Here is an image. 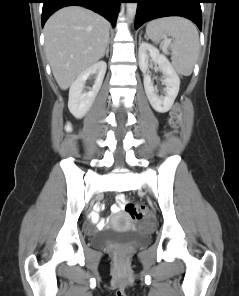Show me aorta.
I'll return each instance as SVG.
<instances>
[{
    "instance_id": "aorta-1",
    "label": "aorta",
    "mask_w": 239,
    "mask_h": 296,
    "mask_svg": "<svg viewBox=\"0 0 239 296\" xmlns=\"http://www.w3.org/2000/svg\"><path fill=\"white\" fill-rule=\"evenodd\" d=\"M127 17L129 20H132L136 14L137 3H127Z\"/></svg>"
}]
</instances>
